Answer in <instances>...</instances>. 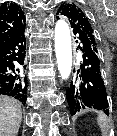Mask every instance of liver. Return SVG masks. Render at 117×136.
<instances>
[{
	"label": "liver",
	"instance_id": "6515ba94",
	"mask_svg": "<svg viewBox=\"0 0 117 136\" xmlns=\"http://www.w3.org/2000/svg\"><path fill=\"white\" fill-rule=\"evenodd\" d=\"M22 121L21 103L0 96V136H16Z\"/></svg>",
	"mask_w": 117,
	"mask_h": 136
}]
</instances>
